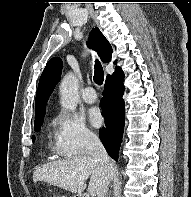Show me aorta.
I'll list each match as a JSON object with an SVG mask.
<instances>
[{
  "instance_id": "obj_1",
  "label": "aorta",
  "mask_w": 191,
  "mask_h": 197,
  "mask_svg": "<svg viewBox=\"0 0 191 197\" xmlns=\"http://www.w3.org/2000/svg\"><path fill=\"white\" fill-rule=\"evenodd\" d=\"M60 104L63 108L74 111L77 107L78 95V82L73 73H68L61 81L60 87Z\"/></svg>"
}]
</instances>
